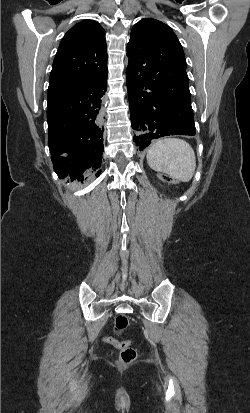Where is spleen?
I'll return each instance as SVG.
<instances>
[{"instance_id": "obj_1", "label": "spleen", "mask_w": 250, "mask_h": 413, "mask_svg": "<svg viewBox=\"0 0 250 413\" xmlns=\"http://www.w3.org/2000/svg\"><path fill=\"white\" fill-rule=\"evenodd\" d=\"M147 163L157 172L166 173L180 182H189L195 172L196 157L185 140L163 138L148 150Z\"/></svg>"}]
</instances>
